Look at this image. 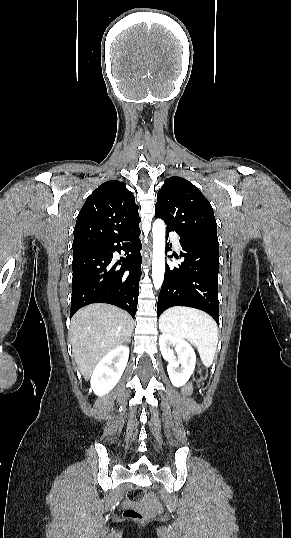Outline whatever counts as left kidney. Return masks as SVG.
Listing matches in <instances>:
<instances>
[{"instance_id": "1", "label": "left kidney", "mask_w": 291, "mask_h": 538, "mask_svg": "<svg viewBox=\"0 0 291 538\" xmlns=\"http://www.w3.org/2000/svg\"><path fill=\"white\" fill-rule=\"evenodd\" d=\"M160 351L168 362L167 371L171 383L176 387L186 384L196 365V354L192 346L184 339L162 333L159 337ZM175 347L177 357L174 354Z\"/></svg>"}]
</instances>
